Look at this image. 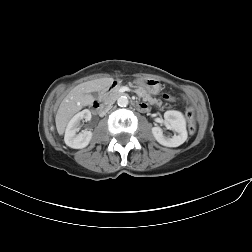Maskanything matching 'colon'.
<instances>
[{
	"label": "colon",
	"instance_id": "obj_1",
	"mask_svg": "<svg viewBox=\"0 0 252 252\" xmlns=\"http://www.w3.org/2000/svg\"><path fill=\"white\" fill-rule=\"evenodd\" d=\"M164 98L167 100H174L170 95H164ZM187 117L189 123V130L191 133H194L196 130V110L194 107H189L187 109Z\"/></svg>",
	"mask_w": 252,
	"mask_h": 252
}]
</instances>
